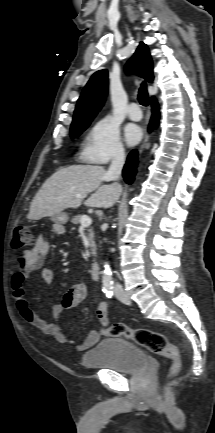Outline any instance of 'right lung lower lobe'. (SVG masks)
Here are the masks:
<instances>
[{"mask_svg":"<svg viewBox=\"0 0 215 433\" xmlns=\"http://www.w3.org/2000/svg\"><path fill=\"white\" fill-rule=\"evenodd\" d=\"M151 105L153 115L149 124V131L156 127L159 121V107L155 98H152ZM137 155L138 153L136 150L131 151L123 168V177L128 184H131L134 180L137 165Z\"/></svg>","mask_w":215,"mask_h":433,"instance_id":"right-lung-lower-lobe-1","label":"right lung lower lobe"}]
</instances>
